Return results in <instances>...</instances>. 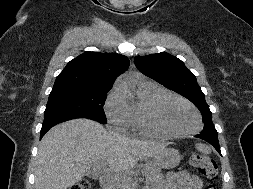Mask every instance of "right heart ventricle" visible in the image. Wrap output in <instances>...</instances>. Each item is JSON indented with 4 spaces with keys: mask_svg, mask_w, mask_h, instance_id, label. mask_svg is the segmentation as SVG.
I'll return each instance as SVG.
<instances>
[{
    "mask_svg": "<svg viewBox=\"0 0 253 189\" xmlns=\"http://www.w3.org/2000/svg\"><path fill=\"white\" fill-rule=\"evenodd\" d=\"M135 92L137 101L129 105V127L144 134L154 135L146 127L145 114L152 100L165 91L154 83L141 81L135 85Z\"/></svg>",
    "mask_w": 253,
    "mask_h": 189,
    "instance_id": "e07e8e85",
    "label": "right heart ventricle"
}]
</instances>
